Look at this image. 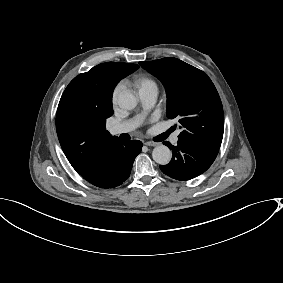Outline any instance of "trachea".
<instances>
[{
	"label": "trachea",
	"mask_w": 283,
	"mask_h": 283,
	"mask_svg": "<svg viewBox=\"0 0 283 283\" xmlns=\"http://www.w3.org/2000/svg\"><path fill=\"white\" fill-rule=\"evenodd\" d=\"M175 130L174 126H172L167 132H165V136L167 137L171 132Z\"/></svg>",
	"instance_id": "1"
}]
</instances>
